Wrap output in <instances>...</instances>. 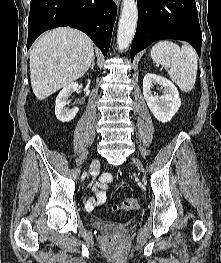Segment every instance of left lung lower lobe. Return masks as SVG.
<instances>
[{"label":"left lung lower lobe","mask_w":221,"mask_h":263,"mask_svg":"<svg viewBox=\"0 0 221 263\" xmlns=\"http://www.w3.org/2000/svg\"><path fill=\"white\" fill-rule=\"evenodd\" d=\"M138 24L130 57L160 39L189 42L200 56L202 32L195 0H137Z\"/></svg>","instance_id":"0a47b994"}]
</instances>
